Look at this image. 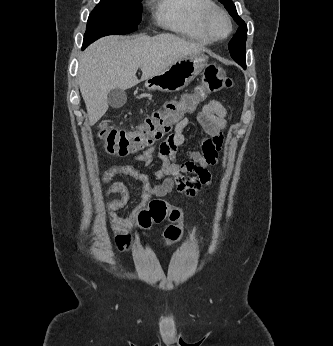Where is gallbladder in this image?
I'll return each instance as SVG.
<instances>
[{
    "label": "gallbladder",
    "instance_id": "bac80fb5",
    "mask_svg": "<svg viewBox=\"0 0 333 346\" xmlns=\"http://www.w3.org/2000/svg\"><path fill=\"white\" fill-rule=\"evenodd\" d=\"M107 101L112 108H121L127 101L126 92L119 88L112 89L107 95Z\"/></svg>",
    "mask_w": 333,
    "mask_h": 346
}]
</instances>
